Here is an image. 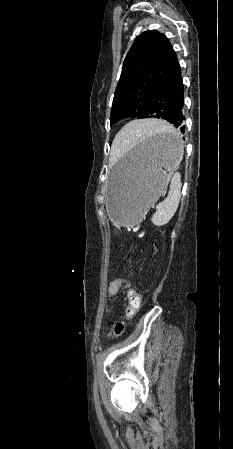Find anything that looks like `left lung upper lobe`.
<instances>
[{"label": "left lung upper lobe", "instance_id": "obj_1", "mask_svg": "<svg viewBox=\"0 0 233 449\" xmlns=\"http://www.w3.org/2000/svg\"><path fill=\"white\" fill-rule=\"evenodd\" d=\"M179 66L168 38L148 30L133 42L123 62L110 124L126 117L144 118L156 92Z\"/></svg>", "mask_w": 233, "mask_h": 449}]
</instances>
